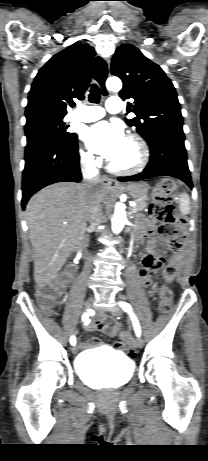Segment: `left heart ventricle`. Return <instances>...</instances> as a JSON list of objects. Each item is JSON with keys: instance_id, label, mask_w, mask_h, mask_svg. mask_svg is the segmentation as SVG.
<instances>
[{"instance_id": "b2bd125f", "label": "left heart ventricle", "mask_w": 208, "mask_h": 461, "mask_svg": "<svg viewBox=\"0 0 208 461\" xmlns=\"http://www.w3.org/2000/svg\"><path fill=\"white\" fill-rule=\"evenodd\" d=\"M138 159L139 154L135 145L126 139L123 148L116 157L111 159V162L119 168H130L138 162Z\"/></svg>"}]
</instances>
